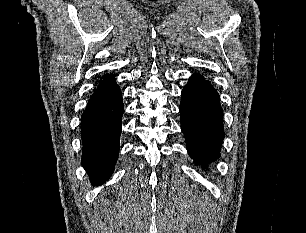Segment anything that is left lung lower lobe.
Instances as JSON below:
<instances>
[{"instance_id": "0a47b994", "label": "left lung lower lobe", "mask_w": 306, "mask_h": 233, "mask_svg": "<svg viewBox=\"0 0 306 233\" xmlns=\"http://www.w3.org/2000/svg\"><path fill=\"white\" fill-rule=\"evenodd\" d=\"M179 110L191 158L202 166L219 158L224 139L223 111L219 94L201 74L194 73L184 87Z\"/></svg>"}]
</instances>
